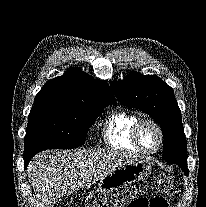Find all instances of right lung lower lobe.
I'll list each match as a JSON object with an SVG mask.
<instances>
[{
    "label": "right lung lower lobe",
    "instance_id": "1",
    "mask_svg": "<svg viewBox=\"0 0 206 207\" xmlns=\"http://www.w3.org/2000/svg\"><path fill=\"white\" fill-rule=\"evenodd\" d=\"M35 154H28V155H24V168L27 167L30 159L34 156Z\"/></svg>",
    "mask_w": 206,
    "mask_h": 207
}]
</instances>
